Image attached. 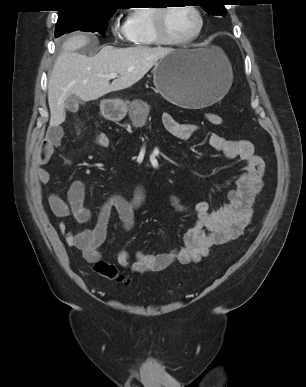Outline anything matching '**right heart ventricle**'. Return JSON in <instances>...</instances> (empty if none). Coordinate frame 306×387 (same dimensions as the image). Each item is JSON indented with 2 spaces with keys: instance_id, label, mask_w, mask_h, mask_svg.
Listing matches in <instances>:
<instances>
[{
  "instance_id": "obj_1",
  "label": "right heart ventricle",
  "mask_w": 306,
  "mask_h": 387,
  "mask_svg": "<svg viewBox=\"0 0 306 387\" xmlns=\"http://www.w3.org/2000/svg\"><path fill=\"white\" fill-rule=\"evenodd\" d=\"M151 7H141L132 10L125 22L127 30V39L129 42L138 47H152L157 42L152 29Z\"/></svg>"
}]
</instances>
